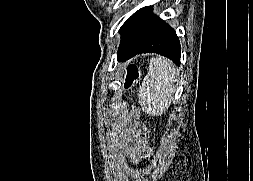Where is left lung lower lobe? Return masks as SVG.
<instances>
[{
  "label": "left lung lower lobe",
  "instance_id": "1",
  "mask_svg": "<svg viewBox=\"0 0 253 181\" xmlns=\"http://www.w3.org/2000/svg\"><path fill=\"white\" fill-rule=\"evenodd\" d=\"M121 43L117 52L119 60L140 53H158L180 65V43L175 31L151 7L135 12L120 28Z\"/></svg>",
  "mask_w": 253,
  "mask_h": 181
}]
</instances>
